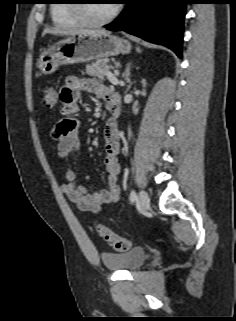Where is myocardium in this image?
Returning a JSON list of instances; mask_svg holds the SVG:
<instances>
[{
	"mask_svg": "<svg viewBox=\"0 0 236 321\" xmlns=\"http://www.w3.org/2000/svg\"><path fill=\"white\" fill-rule=\"evenodd\" d=\"M89 0H73L71 2V9L73 14L81 21L82 24L90 27H100L112 22L120 13L121 6L119 4H114V7L110 14L103 19H92L87 14V2Z\"/></svg>",
	"mask_w": 236,
	"mask_h": 321,
	"instance_id": "f54148a6",
	"label": "myocardium"
}]
</instances>
